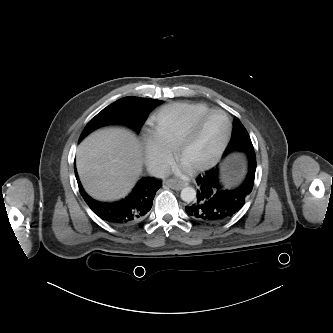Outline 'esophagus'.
I'll use <instances>...</instances> for the list:
<instances>
[{
	"label": "esophagus",
	"mask_w": 333,
	"mask_h": 333,
	"mask_svg": "<svg viewBox=\"0 0 333 333\" xmlns=\"http://www.w3.org/2000/svg\"><path fill=\"white\" fill-rule=\"evenodd\" d=\"M166 185L168 187H170L171 189L180 190L184 186H186L187 183L186 182H182V181H177V180H168V181H166Z\"/></svg>",
	"instance_id": "34e87169"
}]
</instances>
